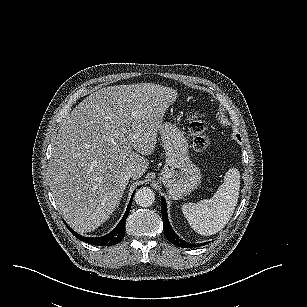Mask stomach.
I'll use <instances>...</instances> for the list:
<instances>
[{
    "label": "stomach",
    "instance_id": "obj_1",
    "mask_svg": "<svg viewBox=\"0 0 307 307\" xmlns=\"http://www.w3.org/2000/svg\"><path fill=\"white\" fill-rule=\"evenodd\" d=\"M157 133L161 137L166 156L160 181L174 199L182 198L201 184L200 167L190 155L187 135L175 123L161 122Z\"/></svg>",
    "mask_w": 307,
    "mask_h": 307
}]
</instances>
